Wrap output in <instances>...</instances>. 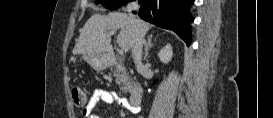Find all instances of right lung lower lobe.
<instances>
[{"mask_svg": "<svg viewBox=\"0 0 273 118\" xmlns=\"http://www.w3.org/2000/svg\"><path fill=\"white\" fill-rule=\"evenodd\" d=\"M193 2L194 0H139L141 7L138 15L161 28L173 30L190 45L189 24L194 19L189 14V7Z\"/></svg>", "mask_w": 273, "mask_h": 118, "instance_id": "1", "label": "right lung lower lobe"}]
</instances>
